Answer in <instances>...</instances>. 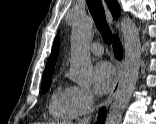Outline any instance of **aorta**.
Masks as SVG:
<instances>
[{
    "instance_id": "762f6f07",
    "label": "aorta",
    "mask_w": 156,
    "mask_h": 124,
    "mask_svg": "<svg viewBox=\"0 0 156 124\" xmlns=\"http://www.w3.org/2000/svg\"><path fill=\"white\" fill-rule=\"evenodd\" d=\"M93 20L89 17L78 19L71 33V79L79 85L90 84L93 77L89 43ZM121 31L124 38L125 56L123 72L114 101L107 114L105 124H120L136 87L140 60L141 42L139 30L129 17H122Z\"/></svg>"
}]
</instances>
